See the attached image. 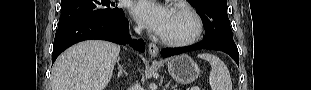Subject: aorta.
I'll return each instance as SVG.
<instances>
[{"mask_svg":"<svg viewBox=\"0 0 311 90\" xmlns=\"http://www.w3.org/2000/svg\"><path fill=\"white\" fill-rule=\"evenodd\" d=\"M150 88L151 89H156V86L155 85H153V86L151 85Z\"/></svg>","mask_w":311,"mask_h":90,"instance_id":"aorta-1","label":"aorta"}]
</instances>
